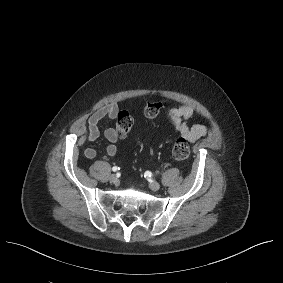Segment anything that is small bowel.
Masks as SVG:
<instances>
[{"mask_svg": "<svg viewBox=\"0 0 283 283\" xmlns=\"http://www.w3.org/2000/svg\"><path fill=\"white\" fill-rule=\"evenodd\" d=\"M117 114L118 107L114 104H107L99 108L88 120V134L86 137L83 135L84 125H76L75 132L82 136L80 142L83 143L86 139L90 142L96 141L100 136V124L105 120L114 119ZM193 114V108L187 104H181L168 110V117L173 123L174 131L189 142H195L209 132L208 127L205 125H189V120ZM104 137L109 142L105 149L106 153L109 156L116 155L118 151L116 143L119 139L116 130L107 128L104 131ZM84 154L88 159H93L96 157L97 152L93 147H88L85 149Z\"/></svg>", "mask_w": 283, "mask_h": 283, "instance_id": "obj_1", "label": "small bowel"}]
</instances>
